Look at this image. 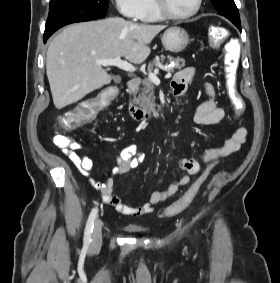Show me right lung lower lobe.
Returning <instances> with one entry per match:
<instances>
[{
	"label": "right lung lower lobe",
	"mask_w": 280,
	"mask_h": 283,
	"mask_svg": "<svg viewBox=\"0 0 280 283\" xmlns=\"http://www.w3.org/2000/svg\"><path fill=\"white\" fill-rule=\"evenodd\" d=\"M90 20H94V19L63 18V19H59V20L46 24L45 32H44V43L59 28L65 25L71 24V23L84 22V21H90Z\"/></svg>",
	"instance_id": "right-lung-lower-lobe-1"
}]
</instances>
